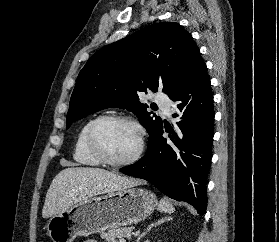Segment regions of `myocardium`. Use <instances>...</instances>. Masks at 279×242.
<instances>
[{
  "label": "myocardium",
  "mask_w": 279,
  "mask_h": 242,
  "mask_svg": "<svg viewBox=\"0 0 279 242\" xmlns=\"http://www.w3.org/2000/svg\"><path fill=\"white\" fill-rule=\"evenodd\" d=\"M108 122H122L132 125L138 133V146L136 151L127 159L114 160L103 150L99 139L98 131ZM88 146L92 154L103 164L113 167L129 166L135 163L142 155L145 146V132L142 125L133 117L126 115H104L96 118L88 131Z\"/></svg>",
  "instance_id": "obj_1"
}]
</instances>
